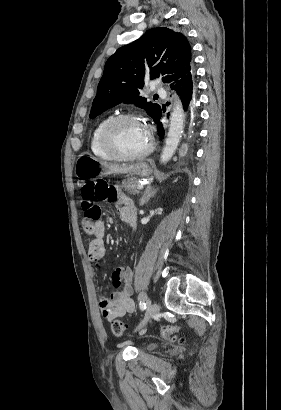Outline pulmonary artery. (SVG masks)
<instances>
[{
	"label": "pulmonary artery",
	"instance_id": "obj_1",
	"mask_svg": "<svg viewBox=\"0 0 281 410\" xmlns=\"http://www.w3.org/2000/svg\"><path fill=\"white\" fill-rule=\"evenodd\" d=\"M154 91L159 94L165 93L164 88L161 85L157 84L156 82L154 83Z\"/></svg>",
	"mask_w": 281,
	"mask_h": 410
}]
</instances>
